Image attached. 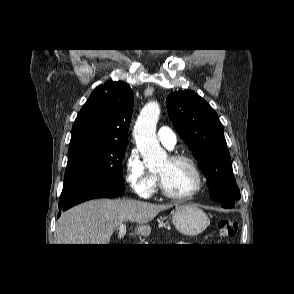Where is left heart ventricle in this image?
<instances>
[{"label":"left heart ventricle","mask_w":294,"mask_h":294,"mask_svg":"<svg viewBox=\"0 0 294 294\" xmlns=\"http://www.w3.org/2000/svg\"><path fill=\"white\" fill-rule=\"evenodd\" d=\"M157 173L163 178L167 188L175 194H187L196 186L195 173L185 162L173 163L166 159Z\"/></svg>","instance_id":"1"}]
</instances>
